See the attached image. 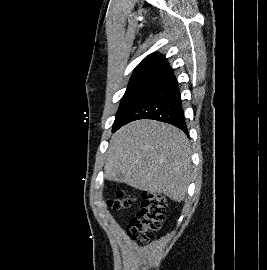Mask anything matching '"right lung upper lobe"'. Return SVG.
I'll list each match as a JSON object with an SVG mask.
<instances>
[{
  "mask_svg": "<svg viewBox=\"0 0 267 270\" xmlns=\"http://www.w3.org/2000/svg\"><path fill=\"white\" fill-rule=\"evenodd\" d=\"M169 66L165 56L160 53H152L146 56L135 68L131 79L142 76H156L159 72ZM130 79V80H131Z\"/></svg>",
  "mask_w": 267,
  "mask_h": 270,
  "instance_id": "1",
  "label": "right lung upper lobe"
}]
</instances>
